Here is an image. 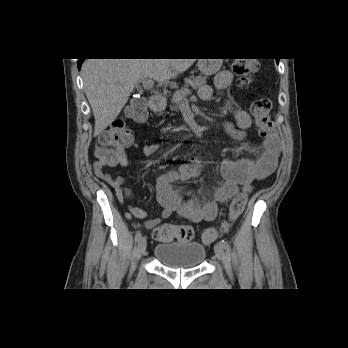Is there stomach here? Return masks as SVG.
Here are the masks:
<instances>
[{
    "mask_svg": "<svg viewBox=\"0 0 348 348\" xmlns=\"http://www.w3.org/2000/svg\"><path fill=\"white\" fill-rule=\"evenodd\" d=\"M198 69L205 76L217 73L222 66V59H199Z\"/></svg>",
    "mask_w": 348,
    "mask_h": 348,
    "instance_id": "obj_1",
    "label": "stomach"
}]
</instances>
